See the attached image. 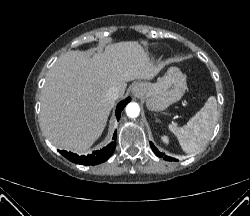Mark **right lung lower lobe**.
Wrapping results in <instances>:
<instances>
[{
	"instance_id": "obj_1",
	"label": "right lung lower lobe",
	"mask_w": 250,
	"mask_h": 216,
	"mask_svg": "<svg viewBox=\"0 0 250 216\" xmlns=\"http://www.w3.org/2000/svg\"><path fill=\"white\" fill-rule=\"evenodd\" d=\"M130 101L131 98L128 97L127 99L121 101L117 105L115 115L118 120L120 118L121 111ZM113 138L114 140L116 139V132L114 133ZM114 150H115V142H111L103 149L94 151L93 154H90L88 156H78L77 154H73L67 151H60V153L73 163L83 164V165H95L106 161L112 155Z\"/></svg>"
}]
</instances>
